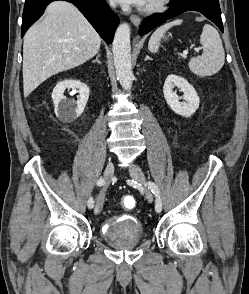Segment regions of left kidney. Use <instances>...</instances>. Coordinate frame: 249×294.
I'll return each instance as SVG.
<instances>
[{
	"mask_svg": "<svg viewBox=\"0 0 249 294\" xmlns=\"http://www.w3.org/2000/svg\"><path fill=\"white\" fill-rule=\"evenodd\" d=\"M175 86L184 93L182 97L173 91ZM163 93L167 104L178 115L190 117L199 108L200 99L197 92L183 77L168 75L163 86ZM181 99H183L182 102H180Z\"/></svg>",
	"mask_w": 249,
	"mask_h": 294,
	"instance_id": "5707ae66",
	"label": "left kidney"
}]
</instances>
